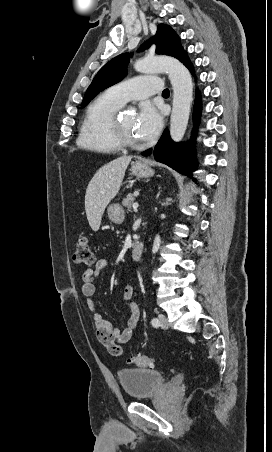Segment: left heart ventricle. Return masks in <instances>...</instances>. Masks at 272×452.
<instances>
[{
	"instance_id": "b2bd125f",
	"label": "left heart ventricle",
	"mask_w": 272,
	"mask_h": 452,
	"mask_svg": "<svg viewBox=\"0 0 272 452\" xmlns=\"http://www.w3.org/2000/svg\"><path fill=\"white\" fill-rule=\"evenodd\" d=\"M119 122L121 124V127H122L124 133L130 139L137 141L139 137L137 136V133H136L135 118L133 116L123 115L121 118H119Z\"/></svg>"
}]
</instances>
